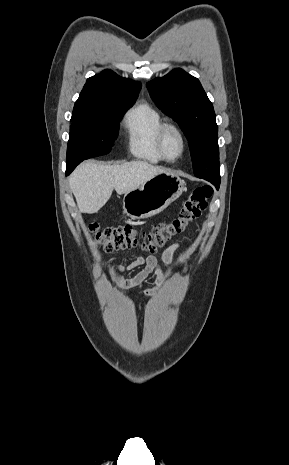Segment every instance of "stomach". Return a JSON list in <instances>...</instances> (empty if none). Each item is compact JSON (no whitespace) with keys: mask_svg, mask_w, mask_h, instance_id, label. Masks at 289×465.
<instances>
[{"mask_svg":"<svg viewBox=\"0 0 289 465\" xmlns=\"http://www.w3.org/2000/svg\"><path fill=\"white\" fill-rule=\"evenodd\" d=\"M184 190L185 181L179 176L159 173L124 195V213L132 220L152 217L166 209Z\"/></svg>","mask_w":289,"mask_h":465,"instance_id":"stomach-1","label":"stomach"}]
</instances>
